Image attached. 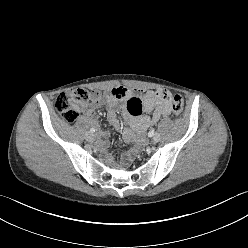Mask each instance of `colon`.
Segmentation results:
<instances>
[{
	"instance_id": "obj_1",
	"label": "colon",
	"mask_w": 248,
	"mask_h": 248,
	"mask_svg": "<svg viewBox=\"0 0 248 248\" xmlns=\"http://www.w3.org/2000/svg\"><path fill=\"white\" fill-rule=\"evenodd\" d=\"M162 96L172 101V109L175 116H181L183 112V99L179 94H172L167 90H162ZM93 98L82 89H78L70 94L62 93L55 101V108L61 114L63 119L68 122H74L78 117L79 108L87 105Z\"/></svg>"
}]
</instances>
